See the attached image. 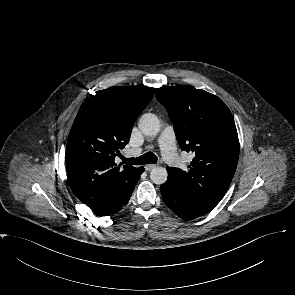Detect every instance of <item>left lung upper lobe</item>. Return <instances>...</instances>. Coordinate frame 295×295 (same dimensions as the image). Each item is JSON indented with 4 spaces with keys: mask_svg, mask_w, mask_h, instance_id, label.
Returning a JSON list of instances; mask_svg holds the SVG:
<instances>
[{
    "mask_svg": "<svg viewBox=\"0 0 295 295\" xmlns=\"http://www.w3.org/2000/svg\"><path fill=\"white\" fill-rule=\"evenodd\" d=\"M156 98L173 122L180 148L194 155L186 171L167 167L168 181L208 213L224 197L238 163L232 114L217 96L192 86L161 87Z\"/></svg>",
    "mask_w": 295,
    "mask_h": 295,
    "instance_id": "left-lung-upper-lobe-1",
    "label": "left lung upper lobe"
}]
</instances>
